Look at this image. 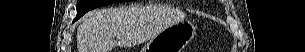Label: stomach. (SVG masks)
I'll use <instances>...</instances> for the list:
<instances>
[{
	"mask_svg": "<svg viewBox=\"0 0 305 52\" xmlns=\"http://www.w3.org/2000/svg\"><path fill=\"white\" fill-rule=\"evenodd\" d=\"M196 34V26L189 21L174 23L150 39L141 52H183Z\"/></svg>",
	"mask_w": 305,
	"mask_h": 52,
	"instance_id": "obj_1",
	"label": "stomach"
}]
</instances>
